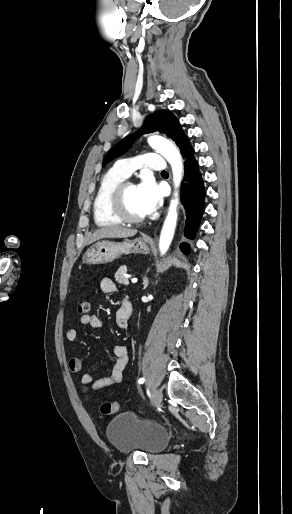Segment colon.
<instances>
[{
  "instance_id": "5ec220e1",
  "label": "colon",
  "mask_w": 292,
  "mask_h": 514,
  "mask_svg": "<svg viewBox=\"0 0 292 514\" xmlns=\"http://www.w3.org/2000/svg\"><path fill=\"white\" fill-rule=\"evenodd\" d=\"M91 310V303L89 300H80L77 304V313L78 315H87ZM82 394L87 392L85 387L80 389ZM119 410V403L117 401H106L101 404L100 412L102 415L110 416L114 415Z\"/></svg>"
}]
</instances>
